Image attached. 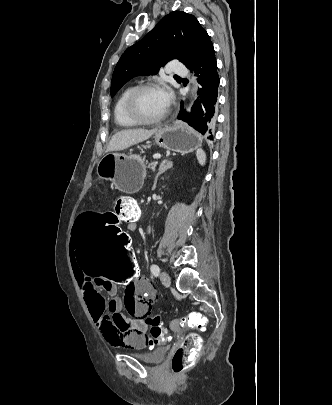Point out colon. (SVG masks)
<instances>
[{
	"label": "colon",
	"mask_w": 332,
	"mask_h": 405,
	"mask_svg": "<svg viewBox=\"0 0 332 405\" xmlns=\"http://www.w3.org/2000/svg\"><path fill=\"white\" fill-rule=\"evenodd\" d=\"M138 209L134 200L126 195L117 197L115 211L117 220H102V211H84V220H75V254L80 262L83 275H100V281H114L116 287H131L132 281L139 280V264L133 259V234L120 226ZM164 310H152L145 317V324L150 325V332L140 334L148 343L143 349L148 350L169 340V327L164 325ZM209 315L192 312L179 319L183 328L205 330L210 323ZM201 346L198 334H189L175 348L171 358L174 373L188 369L196 360Z\"/></svg>",
	"instance_id": "1"
}]
</instances>
